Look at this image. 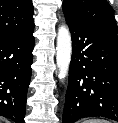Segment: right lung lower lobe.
I'll return each instance as SVG.
<instances>
[{
  "mask_svg": "<svg viewBox=\"0 0 118 123\" xmlns=\"http://www.w3.org/2000/svg\"><path fill=\"white\" fill-rule=\"evenodd\" d=\"M34 28L0 40V115L24 123L26 95L31 79Z\"/></svg>",
  "mask_w": 118,
  "mask_h": 123,
  "instance_id": "98d812e1",
  "label": "right lung lower lobe"
}]
</instances>
